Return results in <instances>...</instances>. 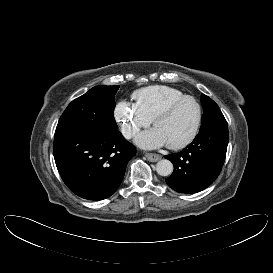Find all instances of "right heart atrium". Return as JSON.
Returning a JSON list of instances; mask_svg holds the SVG:
<instances>
[{
    "mask_svg": "<svg viewBox=\"0 0 273 273\" xmlns=\"http://www.w3.org/2000/svg\"><path fill=\"white\" fill-rule=\"evenodd\" d=\"M113 114L122 135L127 139L132 138L141 128L151 123L150 119L135 104L127 101L118 102Z\"/></svg>",
    "mask_w": 273,
    "mask_h": 273,
    "instance_id": "obj_1",
    "label": "right heart atrium"
}]
</instances>
